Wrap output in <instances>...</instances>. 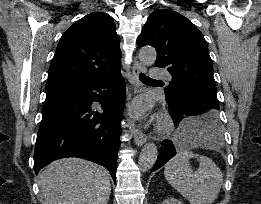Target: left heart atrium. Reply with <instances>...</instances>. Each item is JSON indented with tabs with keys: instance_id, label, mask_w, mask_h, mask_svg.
Here are the masks:
<instances>
[{
	"instance_id": "left-heart-atrium-1",
	"label": "left heart atrium",
	"mask_w": 261,
	"mask_h": 204,
	"mask_svg": "<svg viewBox=\"0 0 261 204\" xmlns=\"http://www.w3.org/2000/svg\"><path fill=\"white\" fill-rule=\"evenodd\" d=\"M146 111L145 102L141 99L134 101L130 107V114L136 119H140L144 116Z\"/></svg>"
}]
</instances>
